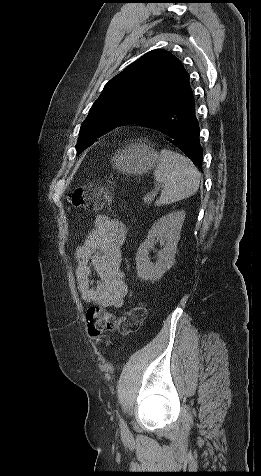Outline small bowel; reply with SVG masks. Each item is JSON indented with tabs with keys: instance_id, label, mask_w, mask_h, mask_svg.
<instances>
[{
	"instance_id": "c3829d8e",
	"label": "small bowel",
	"mask_w": 261,
	"mask_h": 476,
	"mask_svg": "<svg viewBox=\"0 0 261 476\" xmlns=\"http://www.w3.org/2000/svg\"><path fill=\"white\" fill-rule=\"evenodd\" d=\"M125 238L122 223L102 215L95 218L75 254L77 288L83 301L101 308L122 307L128 293L121 269Z\"/></svg>"
}]
</instances>
